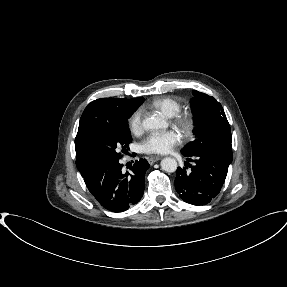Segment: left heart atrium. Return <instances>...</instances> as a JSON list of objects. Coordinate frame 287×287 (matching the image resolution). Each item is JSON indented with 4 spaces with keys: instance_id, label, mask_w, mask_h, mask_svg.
I'll list each match as a JSON object with an SVG mask.
<instances>
[{
    "instance_id": "obj_1",
    "label": "left heart atrium",
    "mask_w": 287,
    "mask_h": 287,
    "mask_svg": "<svg viewBox=\"0 0 287 287\" xmlns=\"http://www.w3.org/2000/svg\"><path fill=\"white\" fill-rule=\"evenodd\" d=\"M181 142L176 130L153 132L141 143V150L148 154H166Z\"/></svg>"
}]
</instances>
